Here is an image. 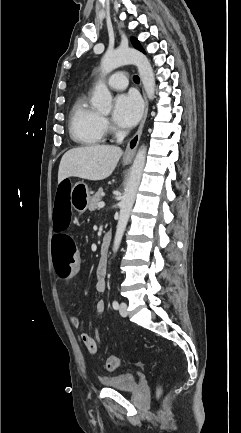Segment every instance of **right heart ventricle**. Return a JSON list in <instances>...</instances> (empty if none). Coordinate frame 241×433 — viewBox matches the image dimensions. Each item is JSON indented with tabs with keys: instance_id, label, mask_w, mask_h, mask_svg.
<instances>
[{
	"instance_id": "e07e8e85",
	"label": "right heart ventricle",
	"mask_w": 241,
	"mask_h": 433,
	"mask_svg": "<svg viewBox=\"0 0 241 433\" xmlns=\"http://www.w3.org/2000/svg\"><path fill=\"white\" fill-rule=\"evenodd\" d=\"M69 129L71 138L82 145H96L106 139L103 118L91 107L86 95L79 96L74 102L70 112Z\"/></svg>"
}]
</instances>
